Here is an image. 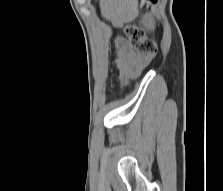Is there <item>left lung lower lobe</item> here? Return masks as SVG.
<instances>
[{
  "label": "left lung lower lobe",
  "mask_w": 223,
  "mask_h": 191,
  "mask_svg": "<svg viewBox=\"0 0 223 191\" xmlns=\"http://www.w3.org/2000/svg\"><path fill=\"white\" fill-rule=\"evenodd\" d=\"M152 2H156L157 0H151Z\"/></svg>",
  "instance_id": "obj_1"
}]
</instances>
